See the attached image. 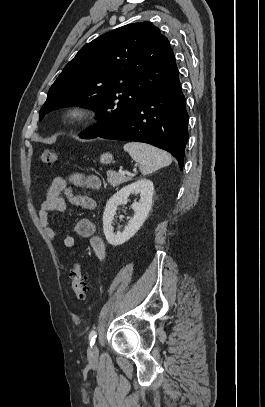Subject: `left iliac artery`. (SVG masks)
Masks as SVG:
<instances>
[{
    "label": "left iliac artery",
    "instance_id": "obj_1",
    "mask_svg": "<svg viewBox=\"0 0 265 407\" xmlns=\"http://www.w3.org/2000/svg\"><path fill=\"white\" fill-rule=\"evenodd\" d=\"M96 337H97L96 331H95V330H92V331L90 332V334H89V340H90V345H91V346L94 345Z\"/></svg>",
    "mask_w": 265,
    "mask_h": 407
}]
</instances>
